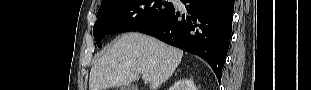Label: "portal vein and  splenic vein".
<instances>
[{
  "instance_id": "obj_1",
  "label": "portal vein and splenic vein",
  "mask_w": 311,
  "mask_h": 90,
  "mask_svg": "<svg viewBox=\"0 0 311 90\" xmlns=\"http://www.w3.org/2000/svg\"><path fill=\"white\" fill-rule=\"evenodd\" d=\"M142 77H143V79L145 81H150L151 80V78H150V76L148 74H143Z\"/></svg>"
}]
</instances>
